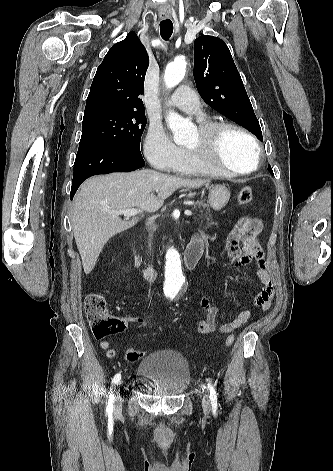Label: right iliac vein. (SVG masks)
Masks as SVG:
<instances>
[{
    "instance_id": "obj_1",
    "label": "right iliac vein",
    "mask_w": 333,
    "mask_h": 471,
    "mask_svg": "<svg viewBox=\"0 0 333 471\" xmlns=\"http://www.w3.org/2000/svg\"><path fill=\"white\" fill-rule=\"evenodd\" d=\"M120 390H121V385L117 384L116 385V390L114 392V409L117 411L118 409L121 408L122 405V399L120 397Z\"/></svg>"
}]
</instances>
